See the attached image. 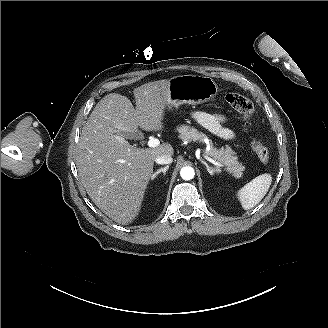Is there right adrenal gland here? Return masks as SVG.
Returning <instances> with one entry per match:
<instances>
[{
	"label": "right adrenal gland",
	"mask_w": 328,
	"mask_h": 328,
	"mask_svg": "<svg viewBox=\"0 0 328 328\" xmlns=\"http://www.w3.org/2000/svg\"><path fill=\"white\" fill-rule=\"evenodd\" d=\"M169 168V165H167L165 168L161 167L157 173L154 174L153 176V180H155L157 178V176L163 172V175H166V170Z\"/></svg>",
	"instance_id": "right-adrenal-gland-1"
}]
</instances>
